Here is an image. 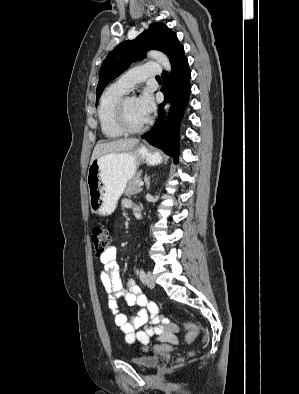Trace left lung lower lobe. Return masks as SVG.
<instances>
[{
  "label": "left lung lower lobe",
  "instance_id": "1",
  "mask_svg": "<svg viewBox=\"0 0 299 394\" xmlns=\"http://www.w3.org/2000/svg\"><path fill=\"white\" fill-rule=\"evenodd\" d=\"M172 72L170 80L166 71L162 73L165 101L159 105V115L155 125L143 135L151 145L160 148L164 153L173 157L177 162L179 155V124L188 104L190 93V69L188 60L182 48L171 62ZM171 92V108L166 126L163 124L164 105L167 94Z\"/></svg>",
  "mask_w": 299,
  "mask_h": 394
}]
</instances>
